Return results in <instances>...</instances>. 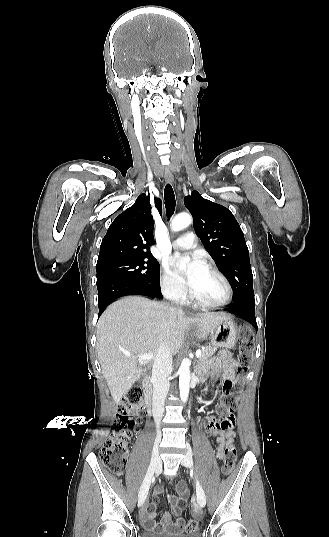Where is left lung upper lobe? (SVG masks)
Instances as JSON below:
<instances>
[{"mask_svg":"<svg viewBox=\"0 0 329 537\" xmlns=\"http://www.w3.org/2000/svg\"><path fill=\"white\" fill-rule=\"evenodd\" d=\"M184 201L205 249L231 282L233 304H255L249 251L234 215L226 207L202 198L197 191Z\"/></svg>","mask_w":329,"mask_h":537,"instance_id":"5c2ea615","label":"left lung upper lobe"}]
</instances>
